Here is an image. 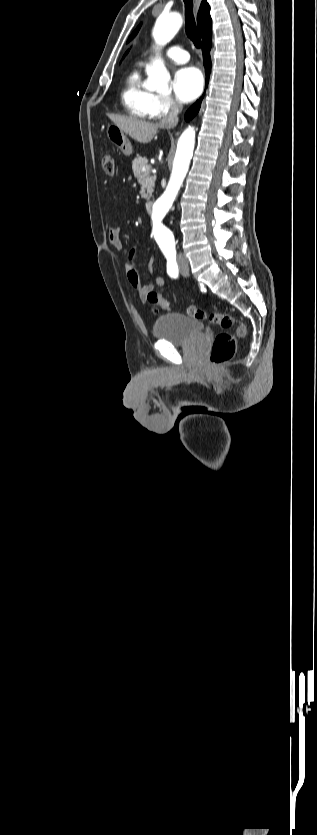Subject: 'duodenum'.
Returning a JSON list of instances; mask_svg holds the SVG:
<instances>
[{"mask_svg": "<svg viewBox=\"0 0 317 835\" xmlns=\"http://www.w3.org/2000/svg\"><path fill=\"white\" fill-rule=\"evenodd\" d=\"M152 208H153V201H148V202L146 203V205H145V209H146V211H147L148 213H150V212L152 211Z\"/></svg>", "mask_w": 317, "mask_h": 835, "instance_id": "duodenum-1", "label": "duodenum"}]
</instances>
